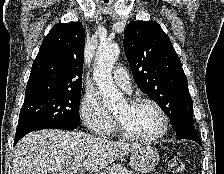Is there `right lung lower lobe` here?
Segmentation results:
<instances>
[{
    "mask_svg": "<svg viewBox=\"0 0 224 174\" xmlns=\"http://www.w3.org/2000/svg\"><path fill=\"white\" fill-rule=\"evenodd\" d=\"M79 126V123H74V124H66V125H61V126H43L39 124H32V125H25V126H20L17 127L16 130V136L14 140V145L27 133L36 131V130H41V129H49V128H55V129H63V130H72L75 129Z\"/></svg>",
    "mask_w": 224,
    "mask_h": 174,
    "instance_id": "98d812e1",
    "label": "right lung lower lobe"
}]
</instances>
